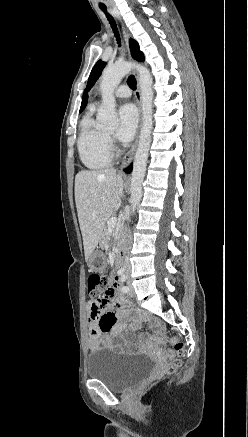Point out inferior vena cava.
<instances>
[{"label": "inferior vena cava", "instance_id": "inferior-vena-cava-1", "mask_svg": "<svg viewBox=\"0 0 248 437\" xmlns=\"http://www.w3.org/2000/svg\"><path fill=\"white\" fill-rule=\"evenodd\" d=\"M125 265H126V267H129L128 259L125 260Z\"/></svg>", "mask_w": 248, "mask_h": 437}]
</instances>
